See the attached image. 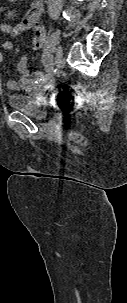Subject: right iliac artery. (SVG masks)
I'll use <instances>...</instances> for the list:
<instances>
[{
	"mask_svg": "<svg viewBox=\"0 0 127 303\" xmlns=\"http://www.w3.org/2000/svg\"><path fill=\"white\" fill-rule=\"evenodd\" d=\"M48 49L51 53H54L55 52V46L53 44H49L48 45Z\"/></svg>",
	"mask_w": 127,
	"mask_h": 303,
	"instance_id": "obj_1",
	"label": "right iliac artery"
}]
</instances>
